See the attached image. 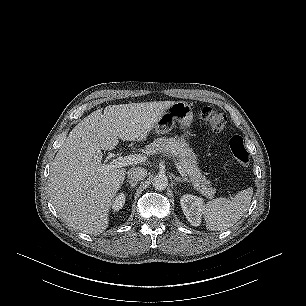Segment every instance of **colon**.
I'll return each instance as SVG.
<instances>
[{"mask_svg":"<svg viewBox=\"0 0 306 306\" xmlns=\"http://www.w3.org/2000/svg\"><path fill=\"white\" fill-rule=\"evenodd\" d=\"M201 117L212 132H220L225 128L227 118L226 116L211 108L204 107L201 111ZM229 148L235 159L240 166H247L249 163V154L245 148L244 140L242 137L235 135L229 140Z\"/></svg>","mask_w":306,"mask_h":306,"instance_id":"5ec220e1","label":"colon"}]
</instances>
